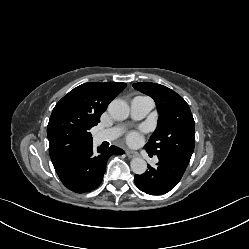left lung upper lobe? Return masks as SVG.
<instances>
[{
    "label": "left lung upper lobe",
    "instance_id": "left-lung-upper-lobe-1",
    "mask_svg": "<svg viewBox=\"0 0 249 249\" xmlns=\"http://www.w3.org/2000/svg\"><path fill=\"white\" fill-rule=\"evenodd\" d=\"M133 87L151 96L159 113L157 128L145 145L147 152L189 162L195 145V125L186 101L160 84L135 83Z\"/></svg>",
    "mask_w": 249,
    "mask_h": 249
}]
</instances>
